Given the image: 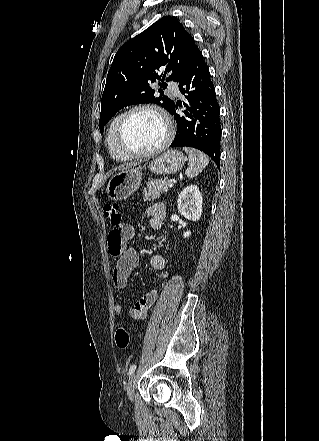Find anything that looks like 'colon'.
<instances>
[{"label":"colon","instance_id":"1","mask_svg":"<svg viewBox=\"0 0 319 441\" xmlns=\"http://www.w3.org/2000/svg\"><path fill=\"white\" fill-rule=\"evenodd\" d=\"M104 216L114 226L110 232L114 234L116 229L121 225L120 206L117 203H107L103 207ZM115 342L120 349H126L129 346V333L125 327H119L115 332Z\"/></svg>","mask_w":319,"mask_h":441}]
</instances>
